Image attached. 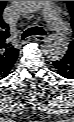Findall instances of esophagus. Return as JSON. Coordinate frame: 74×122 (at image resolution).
<instances>
[{
    "mask_svg": "<svg viewBox=\"0 0 74 122\" xmlns=\"http://www.w3.org/2000/svg\"><path fill=\"white\" fill-rule=\"evenodd\" d=\"M47 39L46 36L43 35H35L34 40L39 41V42H44Z\"/></svg>",
    "mask_w": 74,
    "mask_h": 122,
    "instance_id": "esophagus-1",
    "label": "esophagus"
}]
</instances>
